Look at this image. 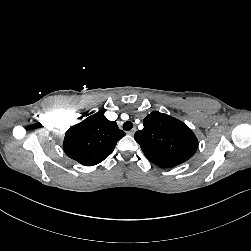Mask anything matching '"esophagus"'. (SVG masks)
I'll use <instances>...</instances> for the list:
<instances>
[{
  "label": "esophagus",
  "mask_w": 251,
  "mask_h": 251,
  "mask_svg": "<svg viewBox=\"0 0 251 251\" xmlns=\"http://www.w3.org/2000/svg\"><path fill=\"white\" fill-rule=\"evenodd\" d=\"M135 132H136V128H133V129H131L130 131H128L127 133H128L129 135H134Z\"/></svg>",
  "instance_id": "obj_1"
}]
</instances>
